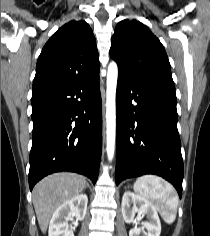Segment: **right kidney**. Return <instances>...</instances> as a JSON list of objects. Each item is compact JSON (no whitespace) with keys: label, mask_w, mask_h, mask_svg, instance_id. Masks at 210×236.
I'll return each mask as SVG.
<instances>
[{"label":"right kidney","mask_w":210,"mask_h":236,"mask_svg":"<svg viewBox=\"0 0 210 236\" xmlns=\"http://www.w3.org/2000/svg\"><path fill=\"white\" fill-rule=\"evenodd\" d=\"M88 197L80 194L62 203L53 213L49 224L48 236H74V227H69L68 220L76 217L83 220L87 211ZM75 224V222H73Z\"/></svg>","instance_id":"ca27d5eb"}]
</instances>
